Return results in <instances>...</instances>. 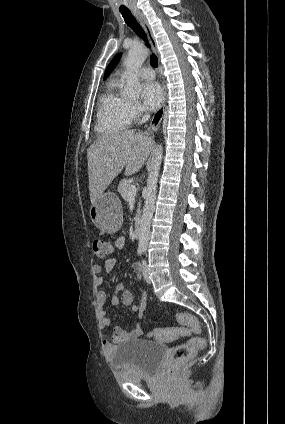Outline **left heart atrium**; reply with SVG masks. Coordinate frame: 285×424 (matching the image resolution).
<instances>
[{
	"instance_id": "left-heart-atrium-1",
	"label": "left heart atrium",
	"mask_w": 285,
	"mask_h": 424,
	"mask_svg": "<svg viewBox=\"0 0 285 424\" xmlns=\"http://www.w3.org/2000/svg\"><path fill=\"white\" fill-rule=\"evenodd\" d=\"M141 97L144 107L148 110L157 109L163 100L161 86L155 81H147L142 85Z\"/></svg>"
}]
</instances>
